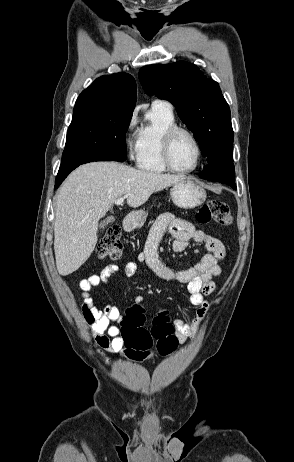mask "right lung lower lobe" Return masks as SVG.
I'll return each instance as SVG.
<instances>
[{"instance_id": "right-lung-lower-lobe-1", "label": "right lung lower lobe", "mask_w": 294, "mask_h": 462, "mask_svg": "<svg viewBox=\"0 0 294 462\" xmlns=\"http://www.w3.org/2000/svg\"><path fill=\"white\" fill-rule=\"evenodd\" d=\"M112 161H117V160H112ZM79 165L68 167L66 169H60L58 171L56 181H55V189L60 186V184L64 181V179L69 175L71 171H73L75 168H77Z\"/></svg>"}]
</instances>
